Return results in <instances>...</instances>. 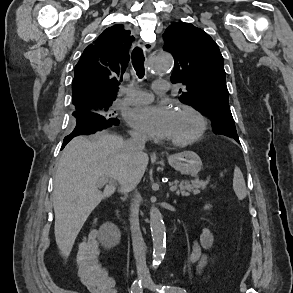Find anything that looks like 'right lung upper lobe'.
I'll return each mask as SVG.
<instances>
[{"label": "right lung upper lobe", "mask_w": 293, "mask_h": 293, "mask_svg": "<svg viewBox=\"0 0 293 293\" xmlns=\"http://www.w3.org/2000/svg\"><path fill=\"white\" fill-rule=\"evenodd\" d=\"M134 37L122 24L105 29L83 52L72 82L75 111L96 112L94 102L113 101L128 66ZM74 111V112H75Z\"/></svg>", "instance_id": "1"}]
</instances>
